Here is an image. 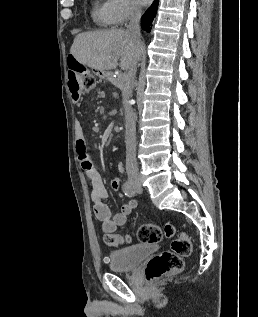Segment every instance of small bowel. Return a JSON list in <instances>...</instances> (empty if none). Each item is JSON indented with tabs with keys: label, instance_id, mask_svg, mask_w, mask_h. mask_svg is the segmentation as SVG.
<instances>
[{
	"label": "small bowel",
	"instance_id": "obj_1",
	"mask_svg": "<svg viewBox=\"0 0 258 317\" xmlns=\"http://www.w3.org/2000/svg\"><path fill=\"white\" fill-rule=\"evenodd\" d=\"M74 138L77 156L91 189V199L95 216L100 221L104 233H114L119 227L126 223L128 216L137 207V203L135 200H129L121 207L118 213L113 214L107 202V189L100 173L94 167L87 152L84 128L79 121H76L74 124ZM110 185L113 190H119L121 187L120 177H113Z\"/></svg>",
	"mask_w": 258,
	"mask_h": 317
}]
</instances>
